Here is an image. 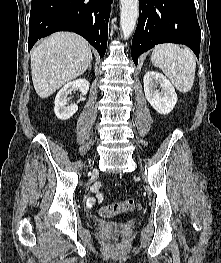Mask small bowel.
<instances>
[{
	"label": "small bowel",
	"instance_id": "c3829d8e",
	"mask_svg": "<svg viewBox=\"0 0 221 263\" xmlns=\"http://www.w3.org/2000/svg\"><path fill=\"white\" fill-rule=\"evenodd\" d=\"M92 191L94 192L95 196L90 197L87 200V206L89 208L93 207L94 205L101 203L104 199L103 193L101 192V184L100 183H95L92 186Z\"/></svg>",
	"mask_w": 221,
	"mask_h": 263
}]
</instances>
